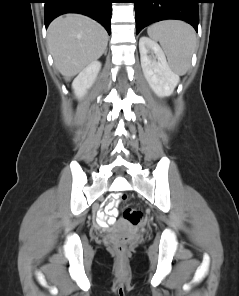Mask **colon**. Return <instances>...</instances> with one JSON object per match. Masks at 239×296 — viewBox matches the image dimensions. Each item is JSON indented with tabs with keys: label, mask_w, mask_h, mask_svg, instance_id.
Masks as SVG:
<instances>
[{
	"label": "colon",
	"mask_w": 239,
	"mask_h": 296,
	"mask_svg": "<svg viewBox=\"0 0 239 296\" xmlns=\"http://www.w3.org/2000/svg\"><path fill=\"white\" fill-rule=\"evenodd\" d=\"M125 195L119 196V201H124ZM124 218L133 226L140 224L143 221V213L137 209L127 207L123 212ZM127 238H116L112 243V250L117 254H125L127 252Z\"/></svg>",
	"instance_id": "colon-1"
}]
</instances>
